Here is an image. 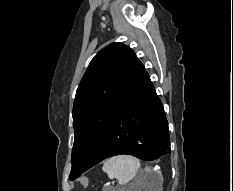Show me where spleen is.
Instances as JSON below:
<instances>
[{
	"label": "spleen",
	"mask_w": 233,
	"mask_h": 191,
	"mask_svg": "<svg viewBox=\"0 0 233 191\" xmlns=\"http://www.w3.org/2000/svg\"><path fill=\"white\" fill-rule=\"evenodd\" d=\"M140 168V161L130 155H119L108 159L103 164V171L109 178H115L120 185H125L133 180ZM151 171H148V174ZM115 191V190H109Z\"/></svg>",
	"instance_id": "spleen-1"
}]
</instances>
